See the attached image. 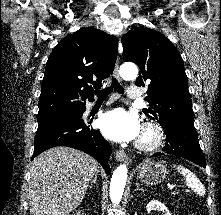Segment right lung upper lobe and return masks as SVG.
Wrapping results in <instances>:
<instances>
[{"mask_svg": "<svg viewBox=\"0 0 221 215\" xmlns=\"http://www.w3.org/2000/svg\"><path fill=\"white\" fill-rule=\"evenodd\" d=\"M117 38L95 28L74 32L53 49L41 85L38 117L56 116L93 101V88L114 70Z\"/></svg>", "mask_w": 221, "mask_h": 215, "instance_id": "right-lung-upper-lobe-1", "label": "right lung upper lobe"}]
</instances>
